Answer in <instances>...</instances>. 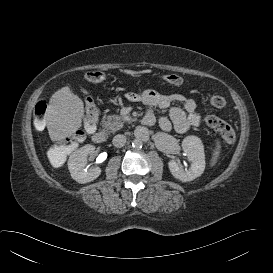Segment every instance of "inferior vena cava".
Here are the masks:
<instances>
[{
    "mask_svg": "<svg viewBox=\"0 0 273 273\" xmlns=\"http://www.w3.org/2000/svg\"><path fill=\"white\" fill-rule=\"evenodd\" d=\"M126 136L125 135H123V134H118V135H116V136H114V138H113V145L115 146V147H118V148H121V147H123L125 144H126Z\"/></svg>",
    "mask_w": 273,
    "mask_h": 273,
    "instance_id": "602c4592",
    "label": "inferior vena cava"
}]
</instances>
